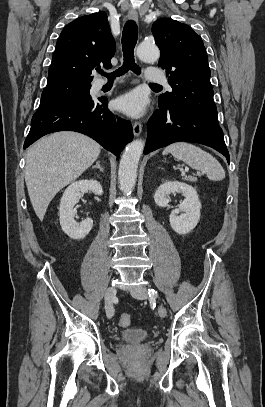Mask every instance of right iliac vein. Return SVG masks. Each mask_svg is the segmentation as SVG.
<instances>
[{"label": "right iliac vein", "instance_id": "1", "mask_svg": "<svg viewBox=\"0 0 265 407\" xmlns=\"http://www.w3.org/2000/svg\"><path fill=\"white\" fill-rule=\"evenodd\" d=\"M115 295L116 289L114 287H109L105 292L106 315L108 318H112L114 315L113 300Z\"/></svg>", "mask_w": 265, "mask_h": 407}]
</instances>
